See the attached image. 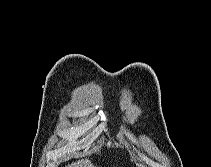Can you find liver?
I'll use <instances>...</instances> for the list:
<instances>
[{"instance_id":"obj_1","label":"liver","mask_w":211,"mask_h":167,"mask_svg":"<svg viewBox=\"0 0 211 167\" xmlns=\"http://www.w3.org/2000/svg\"><path fill=\"white\" fill-rule=\"evenodd\" d=\"M66 167H95L90 160H81L77 162H73L72 164Z\"/></svg>"}]
</instances>
